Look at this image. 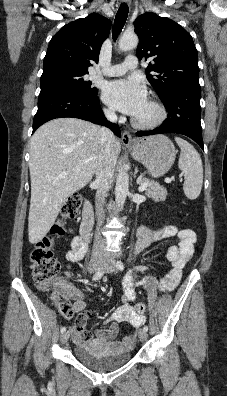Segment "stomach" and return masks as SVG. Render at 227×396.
<instances>
[{"instance_id": "0dacf381", "label": "stomach", "mask_w": 227, "mask_h": 396, "mask_svg": "<svg viewBox=\"0 0 227 396\" xmlns=\"http://www.w3.org/2000/svg\"><path fill=\"white\" fill-rule=\"evenodd\" d=\"M132 157L142 163L154 178L163 176L174 164L176 150L169 138L155 135L140 139L128 147Z\"/></svg>"}]
</instances>
